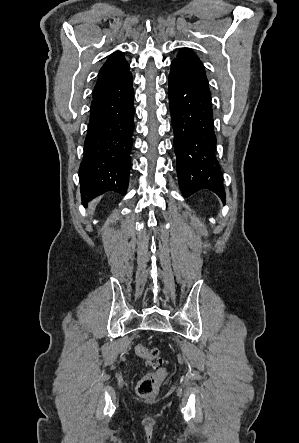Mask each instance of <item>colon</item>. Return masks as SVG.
<instances>
[{
	"instance_id": "colon-1",
	"label": "colon",
	"mask_w": 299,
	"mask_h": 443,
	"mask_svg": "<svg viewBox=\"0 0 299 443\" xmlns=\"http://www.w3.org/2000/svg\"><path fill=\"white\" fill-rule=\"evenodd\" d=\"M135 353L147 366L155 367L164 363V360L160 356V351L157 348L148 350L143 345H137L135 347ZM165 376L166 370L164 368L146 373L138 382V395L142 398L155 396Z\"/></svg>"
}]
</instances>
